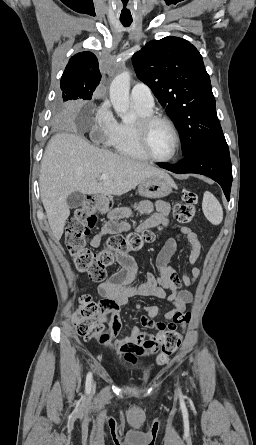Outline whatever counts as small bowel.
Returning <instances> with one entry per match:
<instances>
[{
  "label": "small bowel",
  "mask_w": 256,
  "mask_h": 445,
  "mask_svg": "<svg viewBox=\"0 0 256 445\" xmlns=\"http://www.w3.org/2000/svg\"><path fill=\"white\" fill-rule=\"evenodd\" d=\"M141 208L144 209L145 204L141 205ZM154 208L155 212L141 223L140 230L157 226H171L168 218L170 211L168 203L158 200L154 203ZM129 228L130 225L126 222H108L91 237L90 246L98 248L105 235L127 231ZM176 230L186 237L189 243L188 262L194 264L201 251V243L197 234L185 226L177 227ZM176 247V240L168 239L156 257L158 275L148 273L146 279L140 283H136L137 265L133 258L127 254L117 253L116 261L122 266V269L98 286V292L104 298L100 304L101 311L98 319L101 323L108 324L111 335L118 334L124 328L120 317V308L125 306L131 298L152 296L166 299L173 305L172 309L162 315L155 305L141 306L137 304L136 309L143 310L139 324L131 329L128 336L119 338L116 343L106 342L107 349L122 352L125 360L133 365L138 363L139 356L152 353L157 349L164 332L170 328H176L175 317L183 313L186 306L193 300L192 293L184 289L183 286L193 285L200 270L194 268L191 275L183 272L178 276L170 266V260L175 254ZM143 328H157L158 333L151 334L143 331Z\"/></svg>",
  "instance_id": "c3829d8e"
}]
</instances>
